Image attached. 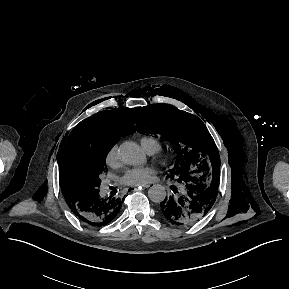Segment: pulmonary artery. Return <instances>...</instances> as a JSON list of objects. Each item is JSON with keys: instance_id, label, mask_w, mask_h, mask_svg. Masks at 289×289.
<instances>
[{"instance_id": "1", "label": "pulmonary artery", "mask_w": 289, "mask_h": 289, "mask_svg": "<svg viewBox=\"0 0 289 289\" xmlns=\"http://www.w3.org/2000/svg\"><path fill=\"white\" fill-rule=\"evenodd\" d=\"M148 153H149V154H153V153H155V151H154V150H151V151H149Z\"/></svg>"}]
</instances>
